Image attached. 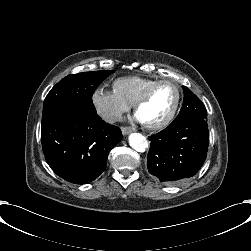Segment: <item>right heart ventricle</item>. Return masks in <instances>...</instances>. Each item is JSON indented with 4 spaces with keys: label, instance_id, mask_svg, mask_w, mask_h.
<instances>
[{
    "label": "right heart ventricle",
    "instance_id": "right-heart-ventricle-1",
    "mask_svg": "<svg viewBox=\"0 0 251 251\" xmlns=\"http://www.w3.org/2000/svg\"><path fill=\"white\" fill-rule=\"evenodd\" d=\"M155 80L157 79L150 76L130 75L116 78L112 82V87L123 101L134 105L144 90Z\"/></svg>",
    "mask_w": 251,
    "mask_h": 251
}]
</instances>
